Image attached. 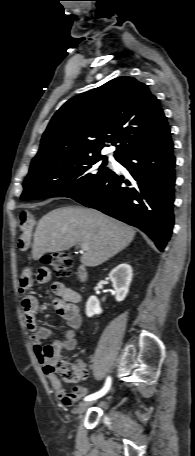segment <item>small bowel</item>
Here are the masks:
<instances>
[{
	"mask_svg": "<svg viewBox=\"0 0 195 456\" xmlns=\"http://www.w3.org/2000/svg\"><path fill=\"white\" fill-rule=\"evenodd\" d=\"M19 239L18 247L26 250L31 241L34 218L28 214H22L19 219ZM34 280L38 284H46L51 280V272L46 267L39 268L35 274L29 269L24 270L19 277L20 292L28 290ZM51 293L55 296V305L59 316L65 321L69 329L63 337L54 340L50 345L43 346L52 333L51 328L43 326L38 328L36 316L39 312V302L36 297L26 295L21 300V306L25 317V323L30 332V341L33 345L34 353L41 364H47L53 359H58L63 350H73L76 346V331L82 324V317L79 312L78 304L81 295L76 290L65 286L61 281H54L50 287ZM49 351V352H48ZM77 364L85 372V364L78 361ZM47 378L51 384L55 396L63 405L70 407L80 398L87 394L85 387H75L71 392H67L61 382L54 374L47 373Z\"/></svg>",
	"mask_w": 195,
	"mask_h": 456,
	"instance_id": "obj_1",
	"label": "small bowel"
}]
</instances>
